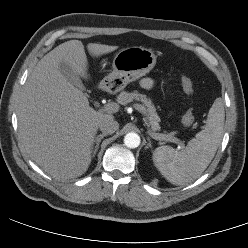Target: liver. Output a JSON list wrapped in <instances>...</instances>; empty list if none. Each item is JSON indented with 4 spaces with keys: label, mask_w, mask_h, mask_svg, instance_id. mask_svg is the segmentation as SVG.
Here are the masks:
<instances>
[{
    "label": "liver",
    "mask_w": 248,
    "mask_h": 248,
    "mask_svg": "<svg viewBox=\"0 0 248 248\" xmlns=\"http://www.w3.org/2000/svg\"><path fill=\"white\" fill-rule=\"evenodd\" d=\"M118 46L87 44L91 56ZM64 62L87 78V57L79 40L47 53L29 75L17 109L19 138L29 157L48 175L67 180L84 174L90 163L99 123L112 115L95 111L86 95L60 72Z\"/></svg>",
    "instance_id": "1"
}]
</instances>
